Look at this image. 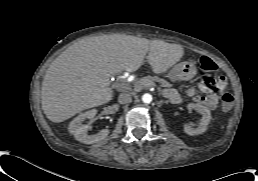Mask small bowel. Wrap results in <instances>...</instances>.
<instances>
[{"label":"small bowel","instance_id":"obj_1","mask_svg":"<svg viewBox=\"0 0 258 181\" xmlns=\"http://www.w3.org/2000/svg\"><path fill=\"white\" fill-rule=\"evenodd\" d=\"M214 80L211 77L202 79L198 84L199 91L203 94L202 96L197 95V91L193 88L188 89L185 94L188 97H196L198 100L203 101L209 108H215L219 102V96L213 92L211 84ZM222 80L217 81L218 87H223ZM171 98L176 99L179 96L177 91L171 93Z\"/></svg>","mask_w":258,"mask_h":181}]
</instances>
